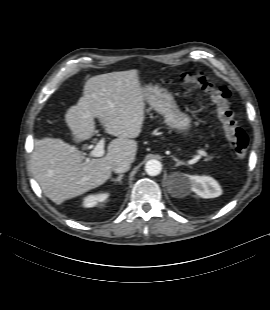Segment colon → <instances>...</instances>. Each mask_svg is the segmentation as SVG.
Here are the masks:
<instances>
[{"label":"colon","instance_id":"1","mask_svg":"<svg viewBox=\"0 0 270 310\" xmlns=\"http://www.w3.org/2000/svg\"><path fill=\"white\" fill-rule=\"evenodd\" d=\"M180 82L187 86H197L209 95L216 106L217 116L234 153L241 159L245 158L248 151V136L234 119L229 104V90L210 81L201 73H183Z\"/></svg>","mask_w":270,"mask_h":310}]
</instances>
